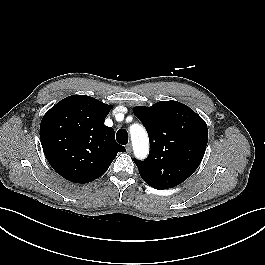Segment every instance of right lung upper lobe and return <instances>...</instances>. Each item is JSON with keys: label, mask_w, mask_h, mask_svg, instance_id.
<instances>
[{"label": "right lung upper lobe", "mask_w": 265, "mask_h": 265, "mask_svg": "<svg viewBox=\"0 0 265 265\" xmlns=\"http://www.w3.org/2000/svg\"><path fill=\"white\" fill-rule=\"evenodd\" d=\"M111 105L89 96L72 95L54 105L40 125V140L52 168L74 183L102 176L118 152L114 130L104 125Z\"/></svg>", "instance_id": "cb5924a9"}]
</instances>
